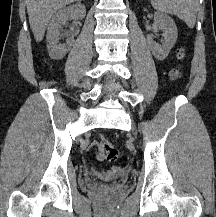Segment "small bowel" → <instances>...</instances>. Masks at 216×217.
<instances>
[{"label": "small bowel", "instance_id": "obj_1", "mask_svg": "<svg viewBox=\"0 0 216 217\" xmlns=\"http://www.w3.org/2000/svg\"><path fill=\"white\" fill-rule=\"evenodd\" d=\"M96 148H97V143H93L90 147V150H95ZM120 172H121V168L119 167H112L106 171L100 170L96 167L92 168V174L104 180L113 179Z\"/></svg>", "mask_w": 216, "mask_h": 217}]
</instances>
